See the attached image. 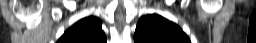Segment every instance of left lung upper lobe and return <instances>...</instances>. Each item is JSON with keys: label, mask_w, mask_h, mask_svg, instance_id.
Listing matches in <instances>:
<instances>
[{"label": "left lung upper lobe", "mask_w": 256, "mask_h": 43, "mask_svg": "<svg viewBox=\"0 0 256 43\" xmlns=\"http://www.w3.org/2000/svg\"><path fill=\"white\" fill-rule=\"evenodd\" d=\"M134 43H191L179 26L157 14L139 19Z\"/></svg>", "instance_id": "obj_1"}]
</instances>
